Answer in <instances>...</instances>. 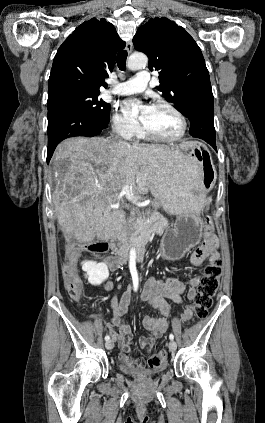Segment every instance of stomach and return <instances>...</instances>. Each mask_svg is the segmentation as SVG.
I'll return each mask as SVG.
<instances>
[{"mask_svg": "<svg viewBox=\"0 0 265 423\" xmlns=\"http://www.w3.org/2000/svg\"><path fill=\"white\" fill-rule=\"evenodd\" d=\"M175 149L182 154L186 170L191 165L199 172L198 181L192 183L188 191L191 203L197 205L200 196L209 191L214 177L211 153L207 146L199 141H184ZM201 234L202 220L199 209L187 206L177 215L174 225L165 232L160 247L161 258L167 261L181 259L190 248L199 243Z\"/></svg>", "mask_w": 265, "mask_h": 423, "instance_id": "0dacf381", "label": "stomach"}]
</instances>
